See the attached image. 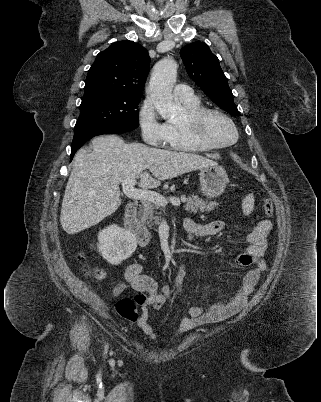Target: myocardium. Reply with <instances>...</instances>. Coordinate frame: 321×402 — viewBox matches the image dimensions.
Masks as SVG:
<instances>
[{
	"label": "myocardium",
	"instance_id": "1",
	"mask_svg": "<svg viewBox=\"0 0 321 402\" xmlns=\"http://www.w3.org/2000/svg\"><path fill=\"white\" fill-rule=\"evenodd\" d=\"M218 115L227 121L234 131V139L228 143H216L209 139L204 132V123L209 115ZM185 124L192 137L207 149H224L234 145L239 139V131L232 118L224 111L217 108L203 107L185 118Z\"/></svg>",
	"mask_w": 321,
	"mask_h": 402
}]
</instances>
